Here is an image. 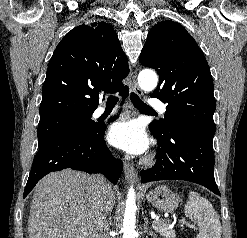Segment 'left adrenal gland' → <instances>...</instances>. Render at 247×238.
I'll return each mask as SVG.
<instances>
[{
  "instance_id": "left-adrenal-gland-1",
  "label": "left adrenal gland",
  "mask_w": 247,
  "mask_h": 238,
  "mask_svg": "<svg viewBox=\"0 0 247 238\" xmlns=\"http://www.w3.org/2000/svg\"><path fill=\"white\" fill-rule=\"evenodd\" d=\"M147 225H148V219L146 218L145 221H144V225H143L144 226V231H145V233H147V235H149V236H151L153 238H156V234L153 233L152 231H149Z\"/></svg>"
}]
</instances>
